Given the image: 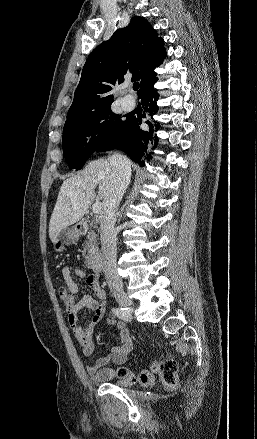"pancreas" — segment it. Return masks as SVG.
I'll return each instance as SVG.
<instances>
[{
  "label": "pancreas",
  "instance_id": "1",
  "mask_svg": "<svg viewBox=\"0 0 257 439\" xmlns=\"http://www.w3.org/2000/svg\"><path fill=\"white\" fill-rule=\"evenodd\" d=\"M95 228V225L91 224ZM83 254L85 257V264L91 267L94 259L98 256L97 234L95 231H89L87 240L84 244Z\"/></svg>",
  "mask_w": 257,
  "mask_h": 439
}]
</instances>
